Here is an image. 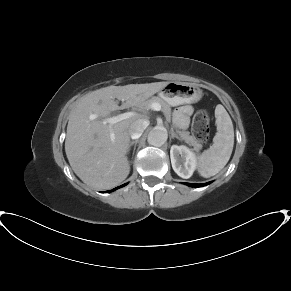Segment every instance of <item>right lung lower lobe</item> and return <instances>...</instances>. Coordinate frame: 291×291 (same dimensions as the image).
Segmentation results:
<instances>
[{"mask_svg": "<svg viewBox=\"0 0 291 291\" xmlns=\"http://www.w3.org/2000/svg\"><path fill=\"white\" fill-rule=\"evenodd\" d=\"M124 185H126V184H124ZM124 185H122V186H124ZM122 186H119V187H117V188H115V189H113V190H116V189H118V188H120V187H122ZM108 192H110V191H108Z\"/></svg>", "mask_w": 291, "mask_h": 291, "instance_id": "obj_1", "label": "right lung lower lobe"}]
</instances>
